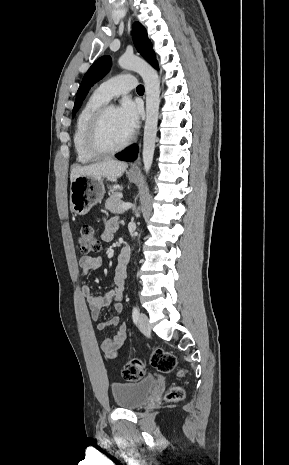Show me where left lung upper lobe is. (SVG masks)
Returning <instances> with one entry per match:
<instances>
[{
    "label": "left lung upper lobe",
    "mask_w": 289,
    "mask_h": 465,
    "mask_svg": "<svg viewBox=\"0 0 289 465\" xmlns=\"http://www.w3.org/2000/svg\"><path fill=\"white\" fill-rule=\"evenodd\" d=\"M132 37L135 47L138 52L153 66L157 67L152 45L148 39L146 29L139 23L135 22L132 27ZM111 67V58L109 56H102L96 60L84 75L80 87L77 91L76 101L73 108L75 113L81 106L85 96L87 95L91 86L99 79L104 77Z\"/></svg>",
    "instance_id": "obj_1"
}]
</instances>
